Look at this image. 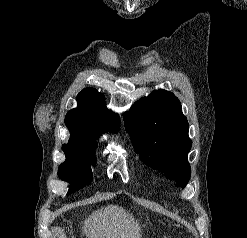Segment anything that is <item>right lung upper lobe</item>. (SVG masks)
I'll return each mask as SVG.
<instances>
[{
	"instance_id": "1",
	"label": "right lung upper lobe",
	"mask_w": 247,
	"mask_h": 238,
	"mask_svg": "<svg viewBox=\"0 0 247 238\" xmlns=\"http://www.w3.org/2000/svg\"><path fill=\"white\" fill-rule=\"evenodd\" d=\"M78 107L70 110L65 124L70 131L69 142L96 147V139L106 130L117 132L120 118L105 107L104 96L93 88L82 90L77 96Z\"/></svg>"
}]
</instances>
